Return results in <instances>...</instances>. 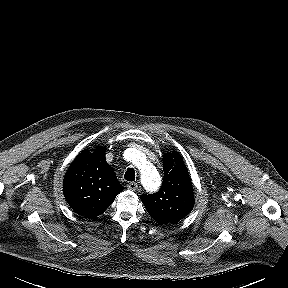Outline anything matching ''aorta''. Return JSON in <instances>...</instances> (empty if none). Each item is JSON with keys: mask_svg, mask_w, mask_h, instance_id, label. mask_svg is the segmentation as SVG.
<instances>
[{"mask_svg": "<svg viewBox=\"0 0 288 288\" xmlns=\"http://www.w3.org/2000/svg\"><path fill=\"white\" fill-rule=\"evenodd\" d=\"M133 162L140 169L142 184L149 190L157 189L161 179L156 168L147 162L139 151L134 152Z\"/></svg>", "mask_w": 288, "mask_h": 288, "instance_id": "762f6f07", "label": "aorta"}]
</instances>
